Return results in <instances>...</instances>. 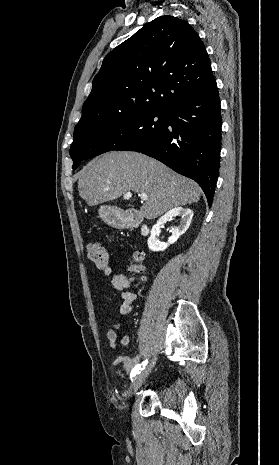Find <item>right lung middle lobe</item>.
<instances>
[{
  "label": "right lung middle lobe",
  "instance_id": "right-lung-middle-lobe-1",
  "mask_svg": "<svg viewBox=\"0 0 279 465\" xmlns=\"http://www.w3.org/2000/svg\"><path fill=\"white\" fill-rule=\"evenodd\" d=\"M167 123L166 110H142L91 127H75L70 156L75 170L83 159L127 146L146 145L158 137Z\"/></svg>",
  "mask_w": 279,
  "mask_h": 465
}]
</instances>
